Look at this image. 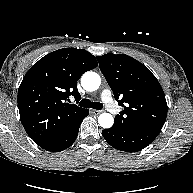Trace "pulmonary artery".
Returning <instances> with one entry per match:
<instances>
[{
    "label": "pulmonary artery",
    "instance_id": "1",
    "mask_svg": "<svg viewBox=\"0 0 193 193\" xmlns=\"http://www.w3.org/2000/svg\"><path fill=\"white\" fill-rule=\"evenodd\" d=\"M100 96H101L103 102L109 108V110L112 112H116V106L113 103L111 91L109 89H104L101 92Z\"/></svg>",
    "mask_w": 193,
    "mask_h": 193
}]
</instances>
